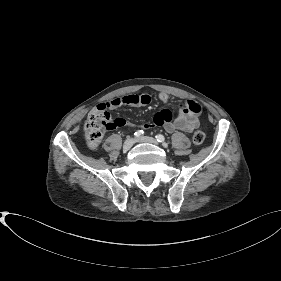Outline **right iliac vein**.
<instances>
[{"label":"right iliac vein","mask_w":281,"mask_h":281,"mask_svg":"<svg viewBox=\"0 0 281 281\" xmlns=\"http://www.w3.org/2000/svg\"><path fill=\"white\" fill-rule=\"evenodd\" d=\"M135 143V139L134 138H128L123 145V150L127 151L129 150Z\"/></svg>","instance_id":"1"}]
</instances>
